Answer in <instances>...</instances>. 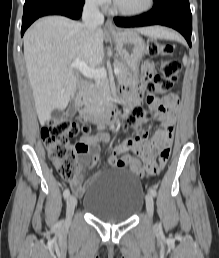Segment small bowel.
Here are the masks:
<instances>
[{"mask_svg": "<svg viewBox=\"0 0 219 258\" xmlns=\"http://www.w3.org/2000/svg\"><path fill=\"white\" fill-rule=\"evenodd\" d=\"M154 64L150 61L142 65L143 80H148L154 75ZM128 106L139 104L140 99L136 91L128 89L123 91ZM149 106L156 111V118L161 122V129L151 140H143L140 136L129 138L123 143L113 147L108 157V164L113 167H128L132 172L140 175H162L160 170L164 167L170 156L178 96L169 94L163 99H149ZM102 128V126H101ZM146 135V134H145ZM147 136V135H146ZM108 140L105 133H99L95 139H83L79 145L80 152L79 175L71 180L70 185L73 192L79 196L83 195L89 182H84L81 173L89 166L95 165L100 156L102 144ZM155 147V150L152 148ZM91 153L89 157L88 154ZM142 156L145 164L134 155ZM121 155V157H119Z\"/></svg>", "mask_w": 219, "mask_h": 258, "instance_id": "small-bowel-1", "label": "small bowel"}]
</instances>
